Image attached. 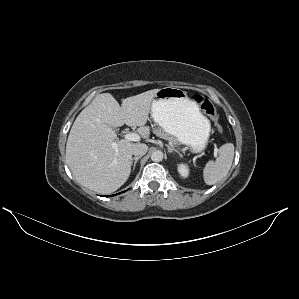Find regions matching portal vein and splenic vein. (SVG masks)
I'll return each mask as SVG.
<instances>
[{
	"mask_svg": "<svg viewBox=\"0 0 299 299\" xmlns=\"http://www.w3.org/2000/svg\"><path fill=\"white\" fill-rule=\"evenodd\" d=\"M124 138L128 141L138 142L140 140V136L137 133H127L124 135ZM113 148L117 151V144L113 143ZM218 148L215 147L214 157H217Z\"/></svg>",
	"mask_w": 299,
	"mask_h": 299,
	"instance_id": "portal-vein-and-splenic-vein-1",
	"label": "portal vein and splenic vein"
}]
</instances>
